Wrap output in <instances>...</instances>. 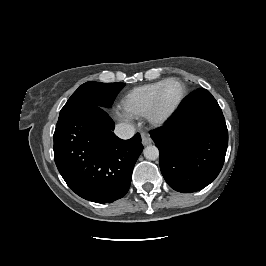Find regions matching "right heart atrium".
I'll list each match as a JSON object with an SVG mask.
<instances>
[{"label":"right heart atrium","mask_w":266,"mask_h":266,"mask_svg":"<svg viewBox=\"0 0 266 266\" xmlns=\"http://www.w3.org/2000/svg\"><path fill=\"white\" fill-rule=\"evenodd\" d=\"M116 117L120 120H128L130 115L125 111H116Z\"/></svg>","instance_id":"right-heart-atrium-1"}]
</instances>
